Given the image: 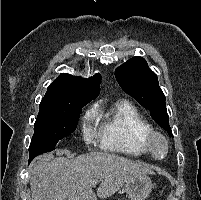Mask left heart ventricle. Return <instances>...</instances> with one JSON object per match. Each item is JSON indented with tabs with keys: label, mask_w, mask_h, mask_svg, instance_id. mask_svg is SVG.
Here are the masks:
<instances>
[{
	"label": "left heart ventricle",
	"mask_w": 201,
	"mask_h": 200,
	"mask_svg": "<svg viewBox=\"0 0 201 200\" xmlns=\"http://www.w3.org/2000/svg\"><path fill=\"white\" fill-rule=\"evenodd\" d=\"M155 154L157 156H162L165 153V146L161 140H157L154 144Z\"/></svg>",
	"instance_id": "left-heart-ventricle-1"
}]
</instances>
